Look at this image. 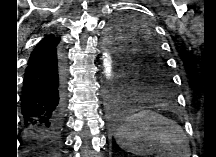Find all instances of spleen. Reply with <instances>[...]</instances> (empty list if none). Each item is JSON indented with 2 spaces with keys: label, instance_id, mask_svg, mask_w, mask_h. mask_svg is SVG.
<instances>
[{
  "label": "spleen",
  "instance_id": "obj_1",
  "mask_svg": "<svg viewBox=\"0 0 216 157\" xmlns=\"http://www.w3.org/2000/svg\"><path fill=\"white\" fill-rule=\"evenodd\" d=\"M174 123L161 115L143 110L127 117L118 128L115 139L119 147L133 155H148L155 149L173 151L181 139L170 128Z\"/></svg>",
  "mask_w": 216,
  "mask_h": 157
}]
</instances>
